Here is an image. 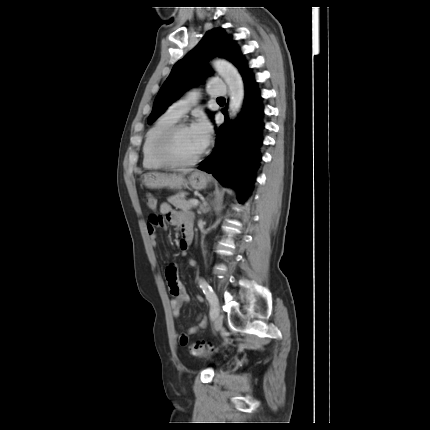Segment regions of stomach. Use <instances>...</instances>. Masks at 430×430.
<instances>
[{
    "mask_svg": "<svg viewBox=\"0 0 430 430\" xmlns=\"http://www.w3.org/2000/svg\"><path fill=\"white\" fill-rule=\"evenodd\" d=\"M210 181L205 173L194 171L188 178H185L182 173H159L150 172L144 175L143 183L148 188H164L181 189L190 185L193 189L202 190L207 187Z\"/></svg>",
    "mask_w": 430,
    "mask_h": 430,
    "instance_id": "stomach-1",
    "label": "stomach"
}]
</instances>
